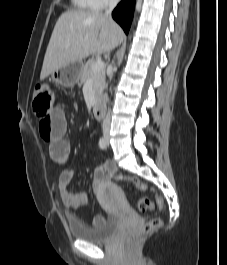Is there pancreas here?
<instances>
[{"instance_id": "cf45deb5", "label": "pancreas", "mask_w": 227, "mask_h": 265, "mask_svg": "<svg viewBox=\"0 0 227 265\" xmlns=\"http://www.w3.org/2000/svg\"><path fill=\"white\" fill-rule=\"evenodd\" d=\"M95 59H90L87 63L83 66L80 83H85L88 79L93 80V94L97 99L103 92L105 87V69L102 68L97 72L92 71V66L95 63Z\"/></svg>"}]
</instances>
